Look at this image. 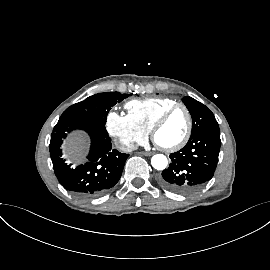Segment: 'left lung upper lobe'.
Returning a JSON list of instances; mask_svg holds the SVG:
<instances>
[{"label":"left lung upper lobe","instance_id":"1","mask_svg":"<svg viewBox=\"0 0 270 270\" xmlns=\"http://www.w3.org/2000/svg\"><path fill=\"white\" fill-rule=\"evenodd\" d=\"M182 101L192 117V132L190 138L202 132H220L213 113L205 105L189 96L184 97Z\"/></svg>","mask_w":270,"mask_h":270}]
</instances>
